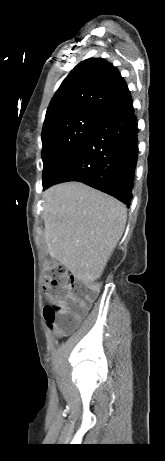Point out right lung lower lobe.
<instances>
[{"mask_svg":"<svg viewBox=\"0 0 165 461\" xmlns=\"http://www.w3.org/2000/svg\"><path fill=\"white\" fill-rule=\"evenodd\" d=\"M133 105L106 118L63 162L43 190L79 181L114 196L129 207L138 156Z\"/></svg>","mask_w":165,"mask_h":461,"instance_id":"obj_1","label":"right lung lower lobe"}]
</instances>
